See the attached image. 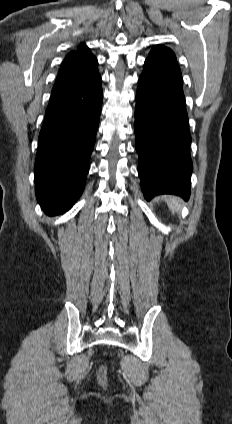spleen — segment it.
Returning <instances> with one entry per match:
<instances>
[{
    "instance_id": "3e777b00",
    "label": "spleen",
    "mask_w": 232,
    "mask_h": 424,
    "mask_svg": "<svg viewBox=\"0 0 232 424\" xmlns=\"http://www.w3.org/2000/svg\"><path fill=\"white\" fill-rule=\"evenodd\" d=\"M169 208L174 213L175 211H178L180 208V200L176 197H169L166 199Z\"/></svg>"
}]
</instances>
